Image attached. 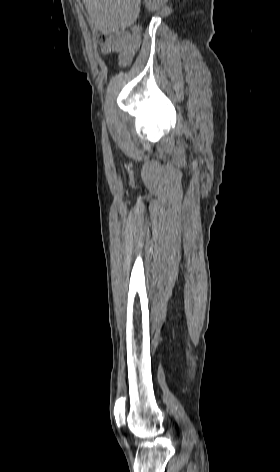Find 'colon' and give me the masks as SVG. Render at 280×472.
<instances>
[{
    "instance_id": "colon-1",
    "label": "colon",
    "mask_w": 280,
    "mask_h": 472,
    "mask_svg": "<svg viewBox=\"0 0 280 472\" xmlns=\"http://www.w3.org/2000/svg\"><path fill=\"white\" fill-rule=\"evenodd\" d=\"M109 40V36L107 34H100L97 36V42L100 44H104ZM129 58L126 56L120 57V63L122 65H126L129 62Z\"/></svg>"
}]
</instances>
